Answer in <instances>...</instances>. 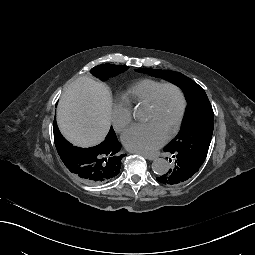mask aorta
Wrapping results in <instances>:
<instances>
[{"label": "aorta", "mask_w": 255, "mask_h": 255, "mask_svg": "<svg viewBox=\"0 0 255 255\" xmlns=\"http://www.w3.org/2000/svg\"><path fill=\"white\" fill-rule=\"evenodd\" d=\"M134 117L139 119L141 117V114L136 111L134 113ZM152 170L155 174L158 175H163L166 172H168L169 170V163L166 159L164 158H156L153 162H152Z\"/></svg>", "instance_id": "obj_1"}]
</instances>
